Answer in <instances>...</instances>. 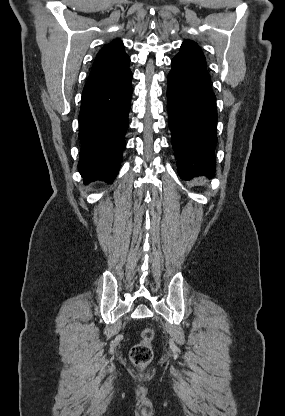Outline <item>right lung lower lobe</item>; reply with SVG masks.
Returning <instances> with one entry per match:
<instances>
[{
    "label": "right lung lower lobe",
    "mask_w": 285,
    "mask_h": 416,
    "mask_svg": "<svg viewBox=\"0 0 285 416\" xmlns=\"http://www.w3.org/2000/svg\"><path fill=\"white\" fill-rule=\"evenodd\" d=\"M132 73L82 94L78 169L84 181L112 182L119 170L131 106Z\"/></svg>",
    "instance_id": "right-lung-lower-lobe-1"
}]
</instances>
